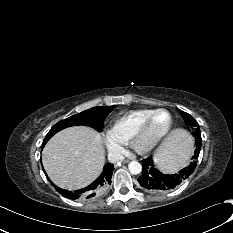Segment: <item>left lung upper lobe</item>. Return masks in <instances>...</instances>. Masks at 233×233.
<instances>
[{"label": "left lung upper lobe", "instance_id": "5c2ea615", "mask_svg": "<svg viewBox=\"0 0 233 233\" xmlns=\"http://www.w3.org/2000/svg\"><path fill=\"white\" fill-rule=\"evenodd\" d=\"M180 114L182 115V117L184 118V120L186 121V123L193 127V136L195 137L196 142H201V134H200V128H199V124L197 123V121L188 113L179 110Z\"/></svg>", "mask_w": 233, "mask_h": 233}]
</instances>
